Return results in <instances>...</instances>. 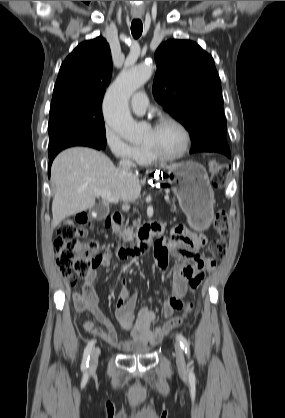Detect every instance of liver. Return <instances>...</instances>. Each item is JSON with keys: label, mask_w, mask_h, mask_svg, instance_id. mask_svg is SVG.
I'll use <instances>...</instances> for the list:
<instances>
[{"label": "liver", "mask_w": 285, "mask_h": 418, "mask_svg": "<svg viewBox=\"0 0 285 418\" xmlns=\"http://www.w3.org/2000/svg\"><path fill=\"white\" fill-rule=\"evenodd\" d=\"M51 180L55 185L53 228L67 217L92 208L97 189L110 191L123 201L136 200L141 193L136 175L124 173L108 156L86 147H73L59 153L52 163Z\"/></svg>", "instance_id": "6515ba94"}]
</instances>
